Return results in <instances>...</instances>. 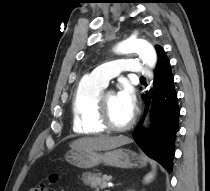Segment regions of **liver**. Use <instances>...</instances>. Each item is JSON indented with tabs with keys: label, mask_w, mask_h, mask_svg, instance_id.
Returning <instances> with one entry per match:
<instances>
[{
	"label": "liver",
	"mask_w": 210,
	"mask_h": 191,
	"mask_svg": "<svg viewBox=\"0 0 210 191\" xmlns=\"http://www.w3.org/2000/svg\"><path fill=\"white\" fill-rule=\"evenodd\" d=\"M131 142L132 140L126 136H95L77 139L70 144V147L72 149L106 151Z\"/></svg>",
	"instance_id": "6515ba94"
}]
</instances>
